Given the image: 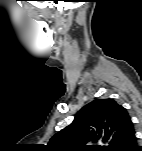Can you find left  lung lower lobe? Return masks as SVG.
<instances>
[{"mask_svg":"<svg viewBox=\"0 0 142 151\" xmlns=\"http://www.w3.org/2000/svg\"><path fill=\"white\" fill-rule=\"evenodd\" d=\"M117 151H142V147L137 146L135 130H133L120 144Z\"/></svg>","mask_w":142,"mask_h":151,"instance_id":"left-lung-lower-lobe-1","label":"left lung lower lobe"}]
</instances>
